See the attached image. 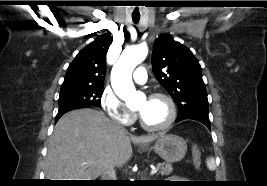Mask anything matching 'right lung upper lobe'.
<instances>
[{
	"label": "right lung upper lobe",
	"mask_w": 267,
	"mask_h": 186,
	"mask_svg": "<svg viewBox=\"0 0 267 186\" xmlns=\"http://www.w3.org/2000/svg\"><path fill=\"white\" fill-rule=\"evenodd\" d=\"M112 38L101 35L82 49L68 67L62 87L103 86L106 54Z\"/></svg>",
	"instance_id": "1"
}]
</instances>
